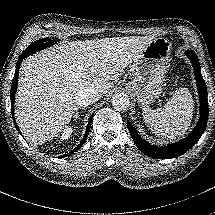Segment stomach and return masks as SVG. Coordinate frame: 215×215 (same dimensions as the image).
Instances as JSON below:
<instances>
[{
	"instance_id": "stomach-1",
	"label": "stomach",
	"mask_w": 215,
	"mask_h": 215,
	"mask_svg": "<svg viewBox=\"0 0 215 215\" xmlns=\"http://www.w3.org/2000/svg\"><path fill=\"white\" fill-rule=\"evenodd\" d=\"M169 53V41L158 38L142 51L131 66L132 77L127 88L139 105L148 106L163 91Z\"/></svg>"
}]
</instances>
